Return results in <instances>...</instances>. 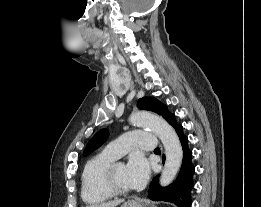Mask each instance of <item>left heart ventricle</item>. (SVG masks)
Wrapping results in <instances>:
<instances>
[{"instance_id":"1","label":"left heart ventricle","mask_w":261,"mask_h":207,"mask_svg":"<svg viewBox=\"0 0 261 207\" xmlns=\"http://www.w3.org/2000/svg\"><path fill=\"white\" fill-rule=\"evenodd\" d=\"M114 177L115 182L119 187L123 189L131 188L127 180L126 166L124 164L120 163L115 167Z\"/></svg>"}]
</instances>
